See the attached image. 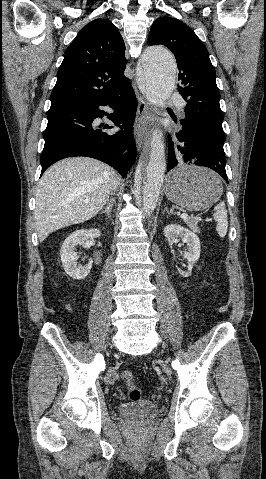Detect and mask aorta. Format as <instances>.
<instances>
[{"mask_svg":"<svg viewBox=\"0 0 266 479\" xmlns=\"http://www.w3.org/2000/svg\"><path fill=\"white\" fill-rule=\"evenodd\" d=\"M141 83L147 99L155 105H163L175 85L176 63L165 48L152 46L145 49L141 59ZM166 170L165 147L162 132L152 134L149 159L136 177V189L141 190L144 213L151 216L155 210Z\"/></svg>","mask_w":266,"mask_h":479,"instance_id":"aorta-1","label":"aorta"}]
</instances>
